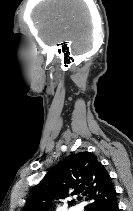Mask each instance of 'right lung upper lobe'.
<instances>
[{
  "instance_id": "1",
  "label": "right lung upper lobe",
  "mask_w": 133,
  "mask_h": 211,
  "mask_svg": "<svg viewBox=\"0 0 133 211\" xmlns=\"http://www.w3.org/2000/svg\"><path fill=\"white\" fill-rule=\"evenodd\" d=\"M85 195V211H96L116 201V191L105 167L90 152L68 156L56 169L34 187L23 211H48L54 198ZM74 201H69L68 204Z\"/></svg>"
}]
</instances>
